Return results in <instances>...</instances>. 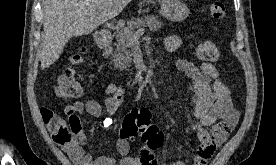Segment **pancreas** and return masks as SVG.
<instances>
[{
    "label": "pancreas",
    "instance_id": "1",
    "mask_svg": "<svg viewBox=\"0 0 276 165\" xmlns=\"http://www.w3.org/2000/svg\"><path fill=\"white\" fill-rule=\"evenodd\" d=\"M162 26V22H159L155 16L132 18L127 22V26L116 35L117 43H115L116 48L114 52L110 49L104 55L112 56L116 69L127 70L132 62V54L129 50L132 43L130 35L135 33V29L148 27L150 31H157Z\"/></svg>",
    "mask_w": 276,
    "mask_h": 165
}]
</instances>
